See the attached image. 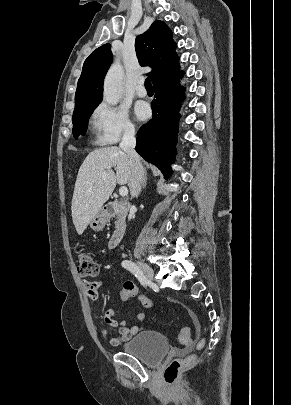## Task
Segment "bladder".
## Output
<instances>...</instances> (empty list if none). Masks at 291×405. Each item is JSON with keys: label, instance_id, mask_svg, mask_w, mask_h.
<instances>
[{"label": "bladder", "instance_id": "obj_1", "mask_svg": "<svg viewBox=\"0 0 291 405\" xmlns=\"http://www.w3.org/2000/svg\"><path fill=\"white\" fill-rule=\"evenodd\" d=\"M122 351L147 366L158 365L169 351L166 337L159 331L144 330L126 341Z\"/></svg>", "mask_w": 291, "mask_h": 405}]
</instances>
